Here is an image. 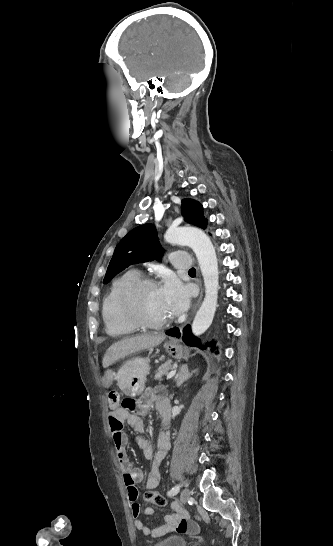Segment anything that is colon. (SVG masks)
Masks as SVG:
<instances>
[{"label": "colon", "instance_id": "5ec220e1", "mask_svg": "<svg viewBox=\"0 0 333 546\" xmlns=\"http://www.w3.org/2000/svg\"><path fill=\"white\" fill-rule=\"evenodd\" d=\"M109 400L112 405H117L119 403L118 394L111 393ZM134 404L135 402L132 399H126L125 401H123V406L127 408H133ZM145 499L146 501L151 502L157 506H165L167 504V500L162 494L153 491L147 492L145 495Z\"/></svg>", "mask_w": 333, "mask_h": 546}]
</instances>
